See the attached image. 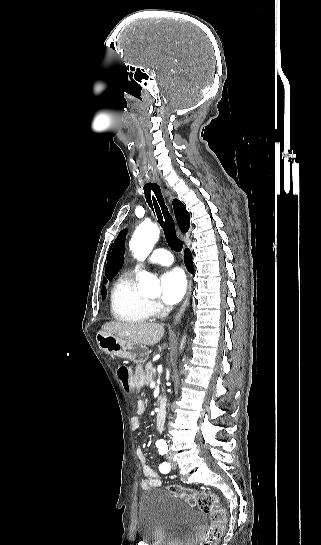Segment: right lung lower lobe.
Returning <instances> with one entry per match:
<instances>
[{
    "label": "right lung lower lobe",
    "mask_w": 321,
    "mask_h": 545,
    "mask_svg": "<svg viewBox=\"0 0 321 545\" xmlns=\"http://www.w3.org/2000/svg\"><path fill=\"white\" fill-rule=\"evenodd\" d=\"M184 260H185V265H186V268L188 269V271L193 273L194 266H193V262H192V254H191V252H190V250L188 248L185 249V251H184Z\"/></svg>",
    "instance_id": "right-lung-lower-lobe-1"
}]
</instances>
